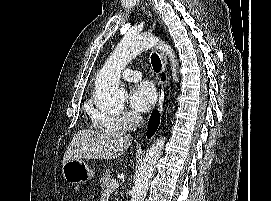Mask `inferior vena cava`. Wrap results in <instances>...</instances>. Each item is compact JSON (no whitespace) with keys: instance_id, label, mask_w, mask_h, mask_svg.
Listing matches in <instances>:
<instances>
[{"instance_id":"602c4592","label":"inferior vena cava","mask_w":271,"mask_h":201,"mask_svg":"<svg viewBox=\"0 0 271 201\" xmlns=\"http://www.w3.org/2000/svg\"><path fill=\"white\" fill-rule=\"evenodd\" d=\"M132 117H133V119L135 120V122L137 124H140L142 122V118H141V116L138 113H133Z\"/></svg>"}]
</instances>
